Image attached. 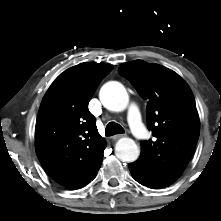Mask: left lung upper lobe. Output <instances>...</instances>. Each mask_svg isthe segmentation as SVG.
Masks as SVG:
<instances>
[{
	"mask_svg": "<svg viewBox=\"0 0 221 221\" xmlns=\"http://www.w3.org/2000/svg\"><path fill=\"white\" fill-rule=\"evenodd\" d=\"M126 77L147 100L146 119L153 140L141 142L136 161L153 189L174 183L186 168L200 133L195 99L174 71L142 60L121 64Z\"/></svg>",
	"mask_w": 221,
	"mask_h": 221,
	"instance_id": "5c2ea615",
	"label": "left lung upper lobe"
}]
</instances>
